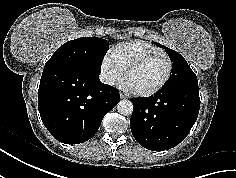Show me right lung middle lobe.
<instances>
[{"label": "right lung middle lobe", "mask_w": 236, "mask_h": 178, "mask_svg": "<svg viewBox=\"0 0 236 178\" xmlns=\"http://www.w3.org/2000/svg\"><path fill=\"white\" fill-rule=\"evenodd\" d=\"M109 50V43L97 37H83L64 43L51 58L45 67L60 64L81 65L101 72L102 60Z\"/></svg>", "instance_id": "dd1d6c3e"}]
</instances>
